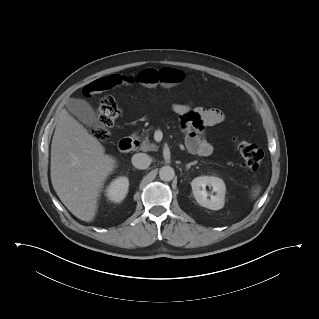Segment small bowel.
Returning a JSON list of instances; mask_svg holds the SVG:
<instances>
[{"instance_id":"c3829d8e","label":"small bowel","mask_w":319,"mask_h":319,"mask_svg":"<svg viewBox=\"0 0 319 319\" xmlns=\"http://www.w3.org/2000/svg\"><path fill=\"white\" fill-rule=\"evenodd\" d=\"M138 82L145 87L161 85L172 87L184 79V74L176 69L147 68L138 75ZM134 83L131 76L108 75L97 79L85 86L86 94L99 93L120 84L129 86ZM172 109L180 117V126L185 134V145L187 149L202 157L210 156L213 152V145L203 136L206 127L220 124L224 121V113L216 108H203L192 104L177 103Z\"/></svg>"}]
</instances>
